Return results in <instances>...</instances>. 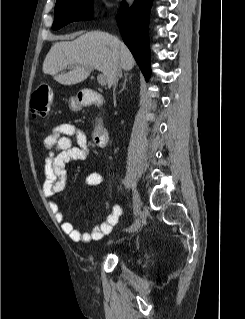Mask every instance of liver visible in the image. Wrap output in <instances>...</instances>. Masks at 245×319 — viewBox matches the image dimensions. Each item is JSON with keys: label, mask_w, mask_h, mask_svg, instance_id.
Masks as SVG:
<instances>
[{"label": "liver", "mask_w": 245, "mask_h": 319, "mask_svg": "<svg viewBox=\"0 0 245 319\" xmlns=\"http://www.w3.org/2000/svg\"><path fill=\"white\" fill-rule=\"evenodd\" d=\"M134 64L131 52L117 37L94 31L73 41L55 43L43 62V72L53 76L60 84L75 85L87 79L88 68H96L105 75L111 86L118 67L130 71ZM68 66L72 70L63 73Z\"/></svg>", "instance_id": "liver-1"}]
</instances>
